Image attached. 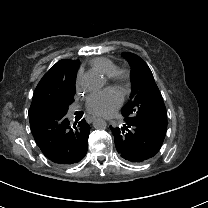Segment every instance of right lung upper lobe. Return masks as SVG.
<instances>
[{"label": "right lung upper lobe", "mask_w": 208, "mask_h": 208, "mask_svg": "<svg viewBox=\"0 0 208 208\" xmlns=\"http://www.w3.org/2000/svg\"><path fill=\"white\" fill-rule=\"evenodd\" d=\"M79 61L62 59L58 61L40 80L35 92L29 112L39 108V102L42 98L57 93L63 84L76 78Z\"/></svg>", "instance_id": "1"}]
</instances>
